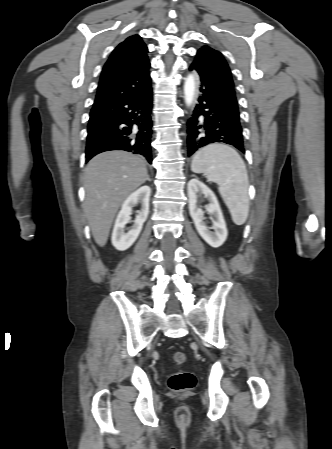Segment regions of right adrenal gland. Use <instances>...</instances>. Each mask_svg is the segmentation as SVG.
Instances as JSON below:
<instances>
[{
    "mask_svg": "<svg viewBox=\"0 0 332 449\" xmlns=\"http://www.w3.org/2000/svg\"><path fill=\"white\" fill-rule=\"evenodd\" d=\"M147 180L150 181L149 175L147 176Z\"/></svg>",
    "mask_w": 332,
    "mask_h": 449,
    "instance_id": "2a0ac1e0",
    "label": "right adrenal gland"
}]
</instances>
